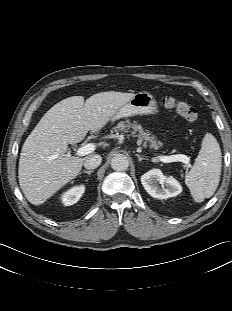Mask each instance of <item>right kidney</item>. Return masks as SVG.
I'll return each instance as SVG.
<instances>
[{"mask_svg": "<svg viewBox=\"0 0 232 311\" xmlns=\"http://www.w3.org/2000/svg\"><path fill=\"white\" fill-rule=\"evenodd\" d=\"M84 191H85L84 185L72 187L71 189H69L68 191L64 192L61 195V201L65 206L73 205L77 203V201L80 199Z\"/></svg>", "mask_w": 232, "mask_h": 311, "instance_id": "obj_1", "label": "right kidney"}]
</instances>
